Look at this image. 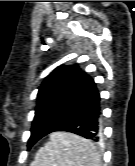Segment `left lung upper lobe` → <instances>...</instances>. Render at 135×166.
Instances as JSON below:
<instances>
[{
  "mask_svg": "<svg viewBox=\"0 0 135 166\" xmlns=\"http://www.w3.org/2000/svg\"><path fill=\"white\" fill-rule=\"evenodd\" d=\"M81 73L80 68L76 65L59 66L45 78L39 87L32 127L40 125L58 110Z\"/></svg>",
  "mask_w": 135,
  "mask_h": 166,
  "instance_id": "1",
  "label": "left lung upper lobe"
}]
</instances>
